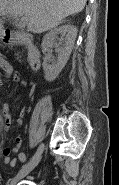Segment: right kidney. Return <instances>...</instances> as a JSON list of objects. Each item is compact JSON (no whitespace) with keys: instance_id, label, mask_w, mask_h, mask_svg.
<instances>
[{"instance_id":"ca27d5eb","label":"right kidney","mask_w":119,"mask_h":185,"mask_svg":"<svg viewBox=\"0 0 119 185\" xmlns=\"http://www.w3.org/2000/svg\"><path fill=\"white\" fill-rule=\"evenodd\" d=\"M58 34H61L63 37V42L60 44L56 43ZM76 36L77 28L73 25H62L51 30L45 35L42 47H55V51L57 53L56 58H53L52 60L47 59L42 64L45 74L44 77L47 81L55 80L65 67L72 52Z\"/></svg>"}]
</instances>
